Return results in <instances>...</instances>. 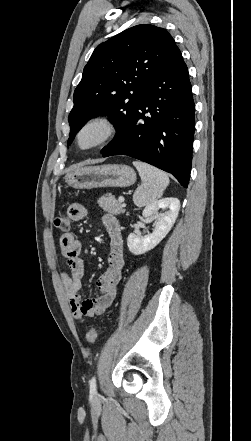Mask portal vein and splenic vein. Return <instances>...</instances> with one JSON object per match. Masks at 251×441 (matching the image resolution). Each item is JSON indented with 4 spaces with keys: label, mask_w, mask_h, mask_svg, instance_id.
Instances as JSON below:
<instances>
[{
    "label": "portal vein and splenic vein",
    "mask_w": 251,
    "mask_h": 441,
    "mask_svg": "<svg viewBox=\"0 0 251 441\" xmlns=\"http://www.w3.org/2000/svg\"><path fill=\"white\" fill-rule=\"evenodd\" d=\"M118 200H119V202H124V197H123V196H120V197L118 198Z\"/></svg>",
    "instance_id": "1"
}]
</instances>
